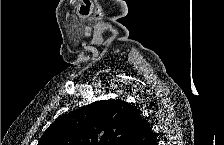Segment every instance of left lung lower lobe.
Here are the masks:
<instances>
[{"mask_svg": "<svg viewBox=\"0 0 224 145\" xmlns=\"http://www.w3.org/2000/svg\"><path fill=\"white\" fill-rule=\"evenodd\" d=\"M130 145H157L156 138L144 119L141 120L139 130Z\"/></svg>", "mask_w": 224, "mask_h": 145, "instance_id": "1", "label": "left lung lower lobe"}]
</instances>
